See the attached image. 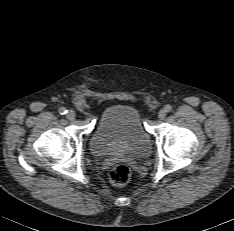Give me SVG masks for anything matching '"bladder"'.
I'll return each instance as SVG.
<instances>
[{"label": "bladder", "mask_w": 234, "mask_h": 231, "mask_svg": "<svg viewBox=\"0 0 234 231\" xmlns=\"http://www.w3.org/2000/svg\"><path fill=\"white\" fill-rule=\"evenodd\" d=\"M90 148L97 157L148 156L151 136L143 126L139 109L128 103L108 108L91 134Z\"/></svg>", "instance_id": "31cf9c89"}]
</instances>
